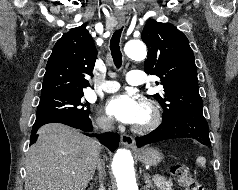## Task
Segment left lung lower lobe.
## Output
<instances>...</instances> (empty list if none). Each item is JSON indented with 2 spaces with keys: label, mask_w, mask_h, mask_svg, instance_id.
<instances>
[{
  "label": "left lung lower lobe",
  "mask_w": 238,
  "mask_h": 190,
  "mask_svg": "<svg viewBox=\"0 0 238 190\" xmlns=\"http://www.w3.org/2000/svg\"><path fill=\"white\" fill-rule=\"evenodd\" d=\"M188 137L200 143L211 146L208 124L202 110L181 111L166 120L161 125L144 137H137V147L156 143L171 138Z\"/></svg>",
  "instance_id": "left-lung-lower-lobe-1"
}]
</instances>
